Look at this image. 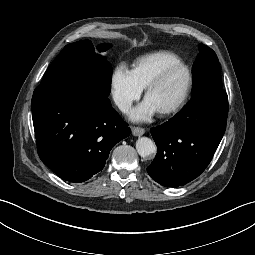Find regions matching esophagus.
Wrapping results in <instances>:
<instances>
[{"mask_svg": "<svg viewBox=\"0 0 255 255\" xmlns=\"http://www.w3.org/2000/svg\"><path fill=\"white\" fill-rule=\"evenodd\" d=\"M131 130L134 136H141L145 133L144 128H141V127H132Z\"/></svg>", "mask_w": 255, "mask_h": 255, "instance_id": "1", "label": "esophagus"}]
</instances>
